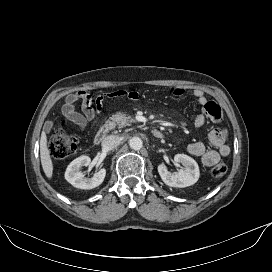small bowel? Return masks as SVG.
<instances>
[{
	"label": "small bowel",
	"instance_id": "c3829d8e",
	"mask_svg": "<svg viewBox=\"0 0 272 272\" xmlns=\"http://www.w3.org/2000/svg\"><path fill=\"white\" fill-rule=\"evenodd\" d=\"M171 92L176 97H182L185 89L180 86L172 87ZM193 96L197 99L201 106V111L195 117V125L203 126L208 120L218 122L221 118V109L219 105L208 100L203 91L200 89L193 90ZM130 99L137 100L139 94L132 90H117L114 92H102L96 95L95 109L93 108V99L86 91H78L69 94L62 107V113L65 118L78 129H84L88 121L92 120L96 114L100 113L103 103L108 99ZM82 104L83 114L75 110L78 102ZM187 151L200 158L201 162L211 167L219 162L222 157H226L230 153V147L227 144L226 130L220 127H214L208 134L207 142H193L187 146Z\"/></svg>",
	"mask_w": 272,
	"mask_h": 272
}]
</instances>
